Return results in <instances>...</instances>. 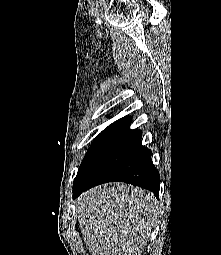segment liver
Returning a JSON list of instances; mask_svg holds the SVG:
<instances>
[{
    "label": "liver",
    "instance_id": "obj_1",
    "mask_svg": "<svg viewBox=\"0 0 221 255\" xmlns=\"http://www.w3.org/2000/svg\"><path fill=\"white\" fill-rule=\"evenodd\" d=\"M76 214L92 255H140L160 210L152 193L117 182L83 193Z\"/></svg>",
    "mask_w": 221,
    "mask_h": 255
}]
</instances>
